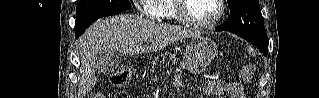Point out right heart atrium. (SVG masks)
I'll list each match as a JSON object with an SVG mask.
<instances>
[{
  "label": "right heart atrium",
  "mask_w": 319,
  "mask_h": 98,
  "mask_svg": "<svg viewBox=\"0 0 319 98\" xmlns=\"http://www.w3.org/2000/svg\"><path fill=\"white\" fill-rule=\"evenodd\" d=\"M148 1L151 0H142V1H135V3L141 4L140 11L144 13L149 18H159L158 14L151 8L147 6Z\"/></svg>",
  "instance_id": "d8ad5b80"
}]
</instances>
